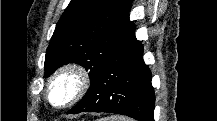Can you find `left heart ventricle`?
<instances>
[{"label":"left heart ventricle","mask_w":217,"mask_h":121,"mask_svg":"<svg viewBox=\"0 0 217 121\" xmlns=\"http://www.w3.org/2000/svg\"><path fill=\"white\" fill-rule=\"evenodd\" d=\"M73 87H74L73 82L68 79H64L60 81L54 89L53 100L56 103L64 102L71 94Z\"/></svg>","instance_id":"1"}]
</instances>
